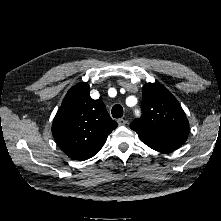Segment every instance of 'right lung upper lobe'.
<instances>
[{
  "label": "right lung upper lobe",
  "mask_w": 221,
  "mask_h": 221,
  "mask_svg": "<svg viewBox=\"0 0 221 221\" xmlns=\"http://www.w3.org/2000/svg\"><path fill=\"white\" fill-rule=\"evenodd\" d=\"M117 127L104 103L90 97L87 83L73 86L66 94L52 125V134L70 158L83 161L98 153Z\"/></svg>",
  "instance_id": "obj_1"
}]
</instances>
